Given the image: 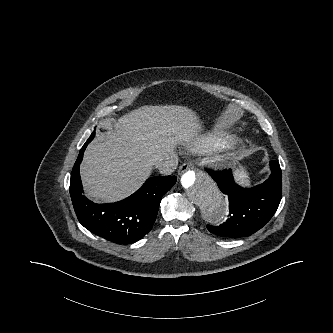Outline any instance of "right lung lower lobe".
I'll use <instances>...</instances> for the list:
<instances>
[{
	"label": "right lung lower lobe",
	"mask_w": 333,
	"mask_h": 333,
	"mask_svg": "<svg viewBox=\"0 0 333 333\" xmlns=\"http://www.w3.org/2000/svg\"><path fill=\"white\" fill-rule=\"evenodd\" d=\"M91 134L81 148L70 179V196L79 222L90 232L117 244L134 243L152 228L162 196L176 183L175 176L149 178L126 199L108 204H95L83 194L79 166L83 152L92 141Z\"/></svg>",
	"instance_id": "98d812e1"
}]
</instances>
